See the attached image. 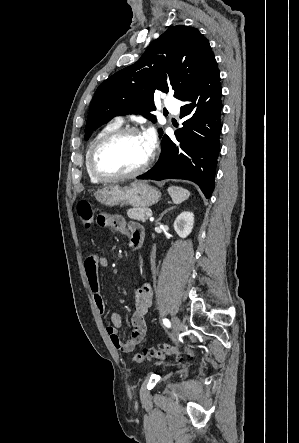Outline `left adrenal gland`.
<instances>
[{"mask_svg":"<svg viewBox=\"0 0 299 443\" xmlns=\"http://www.w3.org/2000/svg\"><path fill=\"white\" fill-rule=\"evenodd\" d=\"M174 208L175 207L173 206V207H170V208L164 210V212L161 213L160 217L158 218V220L156 222H159L162 219V217L164 216V214H166L170 210H173Z\"/></svg>","mask_w":299,"mask_h":443,"instance_id":"a2214340","label":"left adrenal gland"}]
</instances>
